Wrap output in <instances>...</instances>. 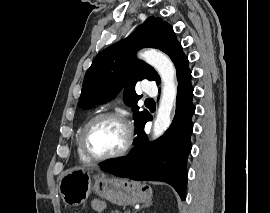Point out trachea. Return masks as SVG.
<instances>
[{"label": "trachea", "mask_w": 270, "mask_h": 213, "mask_svg": "<svg viewBox=\"0 0 270 213\" xmlns=\"http://www.w3.org/2000/svg\"><path fill=\"white\" fill-rule=\"evenodd\" d=\"M150 101H153V99L152 98L146 99V102H150Z\"/></svg>", "instance_id": "trachea-1"}]
</instances>
